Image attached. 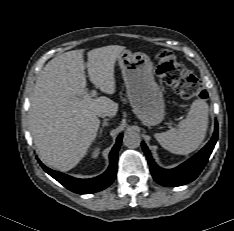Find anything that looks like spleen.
I'll use <instances>...</instances> for the list:
<instances>
[{
	"label": "spleen",
	"mask_w": 234,
	"mask_h": 231,
	"mask_svg": "<svg viewBox=\"0 0 234 231\" xmlns=\"http://www.w3.org/2000/svg\"><path fill=\"white\" fill-rule=\"evenodd\" d=\"M208 127V104L196 99L185 119L177 127L154 136L160 145L174 154L187 155L195 151L205 138Z\"/></svg>",
	"instance_id": "spleen-1"
}]
</instances>
